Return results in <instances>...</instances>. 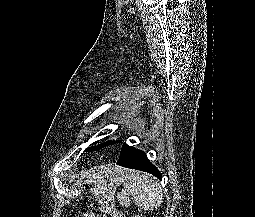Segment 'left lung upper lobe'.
Listing matches in <instances>:
<instances>
[{"label":"left lung upper lobe","instance_id":"left-lung-upper-lobe-1","mask_svg":"<svg viewBox=\"0 0 255 217\" xmlns=\"http://www.w3.org/2000/svg\"><path fill=\"white\" fill-rule=\"evenodd\" d=\"M111 143H112V141H107V142H104V143L99 144L97 146L88 147V148H86L85 151H96V150H99V149H101V148H103V147H105V146H107V145H109Z\"/></svg>","mask_w":255,"mask_h":217}]
</instances>
